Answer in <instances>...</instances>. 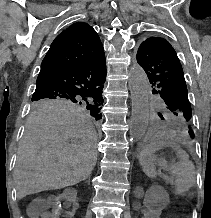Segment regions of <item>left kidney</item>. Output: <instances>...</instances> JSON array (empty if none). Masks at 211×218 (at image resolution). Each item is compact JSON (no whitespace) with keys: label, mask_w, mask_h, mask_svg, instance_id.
<instances>
[{"label":"left kidney","mask_w":211,"mask_h":218,"mask_svg":"<svg viewBox=\"0 0 211 218\" xmlns=\"http://www.w3.org/2000/svg\"><path fill=\"white\" fill-rule=\"evenodd\" d=\"M146 193H149V190ZM138 206L137 215H145V218H162L164 214V207H149V203L144 202H139Z\"/></svg>","instance_id":"1"}]
</instances>
